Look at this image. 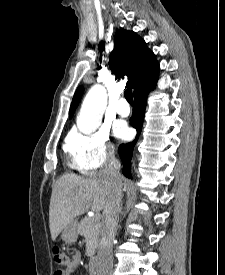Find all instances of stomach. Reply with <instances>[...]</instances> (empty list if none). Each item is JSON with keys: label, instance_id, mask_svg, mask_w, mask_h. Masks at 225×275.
Wrapping results in <instances>:
<instances>
[{"label": "stomach", "instance_id": "stomach-1", "mask_svg": "<svg viewBox=\"0 0 225 275\" xmlns=\"http://www.w3.org/2000/svg\"><path fill=\"white\" fill-rule=\"evenodd\" d=\"M61 238L66 244L75 243L78 238L77 223L72 222L67 225L61 233Z\"/></svg>", "mask_w": 225, "mask_h": 275}]
</instances>
